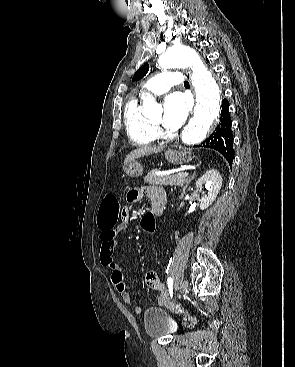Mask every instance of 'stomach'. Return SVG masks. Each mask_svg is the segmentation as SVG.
Returning <instances> with one entry per match:
<instances>
[{
	"label": "stomach",
	"instance_id": "0dacf381",
	"mask_svg": "<svg viewBox=\"0 0 295 367\" xmlns=\"http://www.w3.org/2000/svg\"><path fill=\"white\" fill-rule=\"evenodd\" d=\"M165 157L172 164H183L192 160L188 151L168 150ZM124 172L131 178H137L142 175L143 168L137 161H132L125 165Z\"/></svg>",
	"mask_w": 295,
	"mask_h": 367
}]
</instances>
